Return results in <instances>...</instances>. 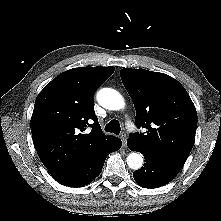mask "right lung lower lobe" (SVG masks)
Wrapping results in <instances>:
<instances>
[{
    "mask_svg": "<svg viewBox=\"0 0 221 221\" xmlns=\"http://www.w3.org/2000/svg\"><path fill=\"white\" fill-rule=\"evenodd\" d=\"M122 145L119 138H115L109 145L98 151L76 171L58 182L64 186L82 187L89 184L101 172L106 157L113 151H117Z\"/></svg>",
    "mask_w": 221,
    "mask_h": 221,
    "instance_id": "1",
    "label": "right lung lower lobe"
}]
</instances>
